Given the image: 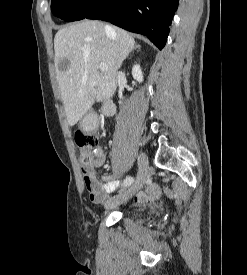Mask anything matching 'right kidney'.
Masks as SVG:
<instances>
[{
  "mask_svg": "<svg viewBox=\"0 0 247 275\" xmlns=\"http://www.w3.org/2000/svg\"><path fill=\"white\" fill-rule=\"evenodd\" d=\"M132 76L136 81H138L140 83L143 81V74H142L140 65L136 64V65L133 66Z\"/></svg>",
  "mask_w": 247,
  "mask_h": 275,
  "instance_id": "right-kidney-1",
  "label": "right kidney"
}]
</instances>
